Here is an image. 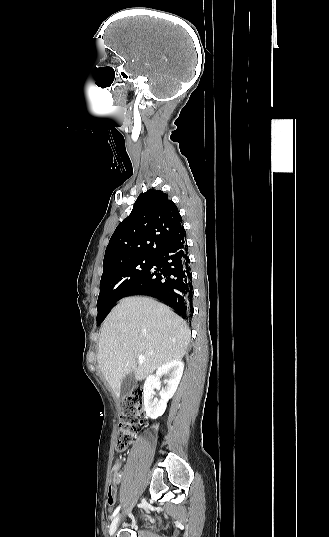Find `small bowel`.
<instances>
[{"label":"small bowel","mask_w":329,"mask_h":537,"mask_svg":"<svg viewBox=\"0 0 329 537\" xmlns=\"http://www.w3.org/2000/svg\"><path fill=\"white\" fill-rule=\"evenodd\" d=\"M118 474H119V464H116L113 468V471H112V480L114 482L117 481L118 479ZM107 502H108V505H109V509L111 510L116 502V493L113 492L112 495H109L108 496V499H107Z\"/></svg>","instance_id":"small-bowel-1"}]
</instances>
